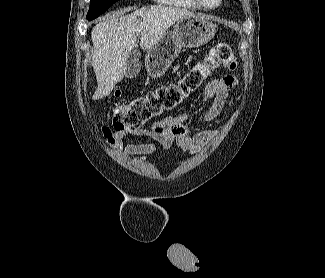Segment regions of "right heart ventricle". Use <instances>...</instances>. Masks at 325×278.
I'll use <instances>...</instances> for the list:
<instances>
[{
	"label": "right heart ventricle",
	"mask_w": 325,
	"mask_h": 278,
	"mask_svg": "<svg viewBox=\"0 0 325 278\" xmlns=\"http://www.w3.org/2000/svg\"><path fill=\"white\" fill-rule=\"evenodd\" d=\"M163 5L173 6L187 10L204 9L197 0H155Z\"/></svg>",
	"instance_id": "1"
}]
</instances>
